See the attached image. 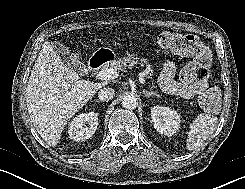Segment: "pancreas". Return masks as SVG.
<instances>
[{
    "mask_svg": "<svg viewBox=\"0 0 245 189\" xmlns=\"http://www.w3.org/2000/svg\"><path fill=\"white\" fill-rule=\"evenodd\" d=\"M133 61L139 62L140 64L146 65V75H148V78L152 79L153 76V70H152V66L148 65V60L145 58L140 59L139 57H137L136 54H129L127 57H120L116 60H113L110 63V67L116 70H124L127 66L128 63H131Z\"/></svg>",
    "mask_w": 245,
    "mask_h": 189,
    "instance_id": "obj_1",
    "label": "pancreas"
}]
</instances>
